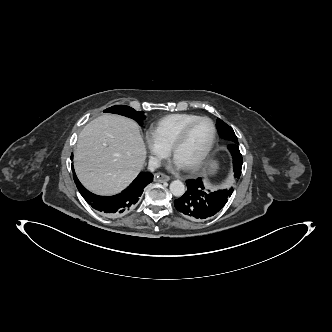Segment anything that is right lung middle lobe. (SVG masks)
I'll use <instances>...</instances> for the list:
<instances>
[{"label":"right lung middle lobe","instance_id":"obj_1","mask_svg":"<svg viewBox=\"0 0 332 332\" xmlns=\"http://www.w3.org/2000/svg\"><path fill=\"white\" fill-rule=\"evenodd\" d=\"M104 112L116 113V114L130 117V118L136 120L139 123V125H142V120L145 119L143 112L136 111L133 108H131L129 106H125V105L112 106V107L104 110Z\"/></svg>","mask_w":332,"mask_h":332}]
</instances>
